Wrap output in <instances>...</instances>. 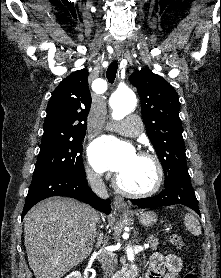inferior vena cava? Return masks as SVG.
Masks as SVG:
<instances>
[{"label": "inferior vena cava", "mask_w": 221, "mask_h": 278, "mask_svg": "<svg viewBox=\"0 0 221 278\" xmlns=\"http://www.w3.org/2000/svg\"><path fill=\"white\" fill-rule=\"evenodd\" d=\"M87 180L91 187V189L100 197L106 198L107 197V190L105 187V184L101 178L100 175L88 172L87 173ZM101 244V243H100ZM100 263L102 265L104 278L109 277L116 269L117 267V259L115 255H113L111 252L104 251L100 255Z\"/></svg>", "instance_id": "obj_1"}]
</instances>
